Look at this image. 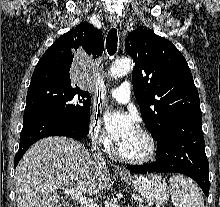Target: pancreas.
Here are the masks:
<instances>
[{
  "mask_svg": "<svg viewBox=\"0 0 220 207\" xmlns=\"http://www.w3.org/2000/svg\"><path fill=\"white\" fill-rule=\"evenodd\" d=\"M137 207H144L143 205H138Z\"/></svg>",
  "mask_w": 220,
  "mask_h": 207,
  "instance_id": "1",
  "label": "pancreas"
}]
</instances>
